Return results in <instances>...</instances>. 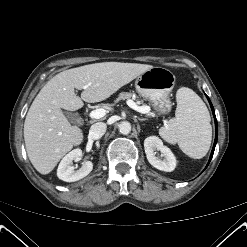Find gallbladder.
Masks as SVG:
<instances>
[{"label": "gallbladder", "mask_w": 247, "mask_h": 247, "mask_svg": "<svg viewBox=\"0 0 247 247\" xmlns=\"http://www.w3.org/2000/svg\"><path fill=\"white\" fill-rule=\"evenodd\" d=\"M67 118L73 124H79L81 119L77 113H66Z\"/></svg>", "instance_id": "gallbladder-1"}]
</instances>
